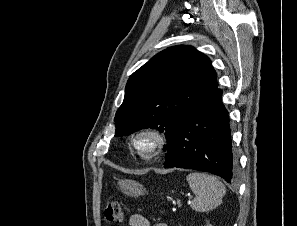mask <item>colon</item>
<instances>
[{
	"label": "colon",
	"mask_w": 297,
	"mask_h": 226,
	"mask_svg": "<svg viewBox=\"0 0 297 226\" xmlns=\"http://www.w3.org/2000/svg\"><path fill=\"white\" fill-rule=\"evenodd\" d=\"M104 218L109 223L120 222L122 219L121 206L117 201H109L104 210Z\"/></svg>",
	"instance_id": "obj_1"
}]
</instances>
